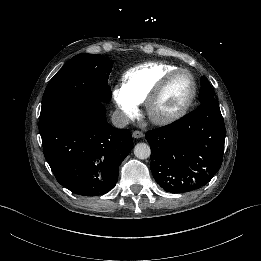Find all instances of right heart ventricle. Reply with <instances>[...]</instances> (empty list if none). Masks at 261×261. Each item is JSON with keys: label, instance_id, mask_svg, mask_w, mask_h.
Listing matches in <instances>:
<instances>
[{"label": "right heart ventricle", "instance_id": "right-heart-ventricle-1", "mask_svg": "<svg viewBox=\"0 0 261 261\" xmlns=\"http://www.w3.org/2000/svg\"><path fill=\"white\" fill-rule=\"evenodd\" d=\"M176 67L161 62L137 65L123 74V89L138 104L147 101L165 75Z\"/></svg>", "mask_w": 261, "mask_h": 261}]
</instances>
